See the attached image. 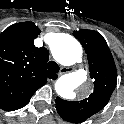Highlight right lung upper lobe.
Instances as JSON below:
<instances>
[{"instance_id": "right-lung-upper-lobe-1", "label": "right lung upper lobe", "mask_w": 124, "mask_h": 124, "mask_svg": "<svg viewBox=\"0 0 124 124\" xmlns=\"http://www.w3.org/2000/svg\"><path fill=\"white\" fill-rule=\"evenodd\" d=\"M40 32L33 22H21L0 34V108L5 111L22 108L48 78H57L46 69L47 49L34 45Z\"/></svg>"}]
</instances>
